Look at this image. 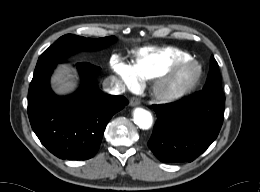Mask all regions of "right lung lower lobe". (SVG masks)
I'll return each instance as SVG.
<instances>
[{
    "instance_id": "98d812e1",
    "label": "right lung lower lobe",
    "mask_w": 260,
    "mask_h": 192,
    "mask_svg": "<svg viewBox=\"0 0 260 192\" xmlns=\"http://www.w3.org/2000/svg\"><path fill=\"white\" fill-rule=\"evenodd\" d=\"M62 62V61H61ZM34 72L28 92V115L41 143L61 159H89L99 149L111 117L128 101L123 96L104 94L95 81L100 67L78 63L82 86L71 97L56 96L49 78L58 63Z\"/></svg>"
}]
</instances>
